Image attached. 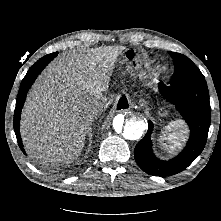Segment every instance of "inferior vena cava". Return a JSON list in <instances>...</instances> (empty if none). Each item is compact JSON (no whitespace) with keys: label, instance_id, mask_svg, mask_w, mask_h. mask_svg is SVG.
<instances>
[{"label":"inferior vena cava","instance_id":"602c4592","mask_svg":"<svg viewBox=\"0 0 221 221\" xmlns=\"http://www.w3.org/2000/svg\"><path fill=\"white\" fill-rule=\"evenodd\" d=\"M105 106L106 104L103 101L98 102L96 108L92 110V117L96 119L100 118L102 114L101 111L105 108Z\"/></svg>","mask_w":221,"mask_h":221}]
</instances>
